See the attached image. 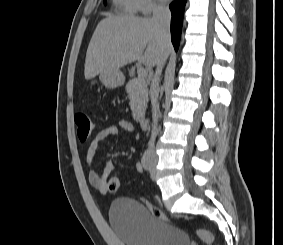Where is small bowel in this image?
<instances>
[{"label": "small bowel", "mask_w": 283, "mask_h": 245, "mask_svg": "<svg viewBox=\"0 0 283 245\" xmlns=\"http://www.w3.org/2000/svg\"><path fill=\"white\" fill-rule=\"evenodd\" d=\"M119 129L126 132H134V125L126 120L121 119L118 121L117 125H111L101 129L91 141L87 153H86V165H87V179L92 187H94L101 194H107V184L109 177L114 170V164L110 159L105 162V168L103 174L99 176L93 167V162L97 153V150L101 144L108 138L114 137L118 134ZM137 172L141 173L143 171L142 163L137 162L136 165Z\"/></svg>", "instance_id": "1"}]
</instances>
